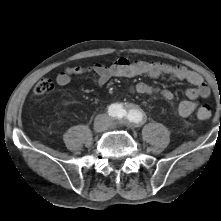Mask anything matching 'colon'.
<instances>
[{"instance_id":"1","label":"colon","mask_w":221,"mask_h":221,"mask_svg":"<svg viewBox=\"0 0 221 221\" xmlns=\"http://www.w3.org/2000/svg\"><path fill=\"white\" fill-rule=\"evenodd\" d=\"M54 88V82L50 78L41 79L34 87L35 96H43L51 92ZM197 118L201 121H208L211 118L212 112L208 105H201L197 108Z\"/></svg>"}]
</instances>
